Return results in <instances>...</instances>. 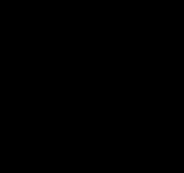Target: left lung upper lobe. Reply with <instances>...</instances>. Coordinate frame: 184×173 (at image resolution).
<instances>
[{
    "label": "left lung upper lobe",
    "instance_id": "5c2ea615",
    "mask_svg": "<svg viewBox=\"0 0 184 173\" xmlns=\"http://www.w3.org/2000/svg\"><path fill=\"white\" fill-rule=\"evenodd\" d=\"M120 103L126 127L149 142L160 141L168 115L165 88L139 52H131L125 60Z\"/></svg>",
    "mask_w": 184,
    "mask_h": 173
}]
</instances>
